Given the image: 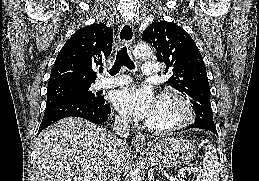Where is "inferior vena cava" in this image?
<instances>
[{
	"label": "inferior vena cava",
	"mask_w": 259,
	"mask_h": 181,
	"mask_svg": "<svg viewBox=\"0 0 259 181\" xmlns=\"http://www.w3.org/2000/svg\"><path fill=\"white\" fill-rule=\"evenodd\" d=\"M113 131L114 135V148L110 155V165L108 177L110 181H119L122 173L121 155L120 153L125 150V139L128 138L130 133L129 120L126 117H117L115 119Z\"/></svg>",
	"instance_id": "1"
}]
</instances>
